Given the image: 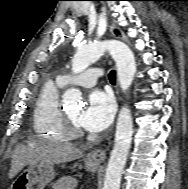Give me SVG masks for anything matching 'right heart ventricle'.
<instances>
[{
    "mask_svg": "<svg viewBox=\"0 0 188 189\" xmlns=\"http://www.w3.org/2000/svg\"><path fill=\"white\" fill-rule=\"evenodd\" d=\"M58 82L45 81L35 100L33 110L34 132L53 142H64L67 136L63 126V111L59 103Z\"/></svg>",
    "mask_w": 188,
    "mask_h": 189,
    "instance_id": "e07e8e85",
    "label": "right heart ventricle"
}]
</instances>
